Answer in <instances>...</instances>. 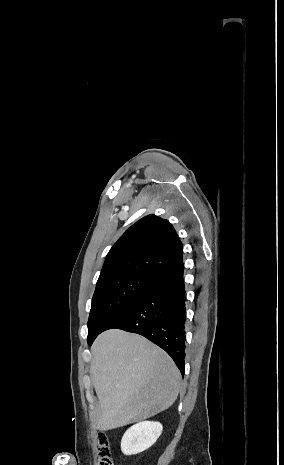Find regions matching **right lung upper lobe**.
<instances>
[{
  "label": "right lung upper lobe",
  "mask_w": 284,
  "mask_h": 465,
  "mask_svg": "<svg viewBox=\"0 0 284 465\" xmlns=\"http://www.w3.org/2000/svg\"><path fill=\"white\" fill-rule=\"evenodd\" d=\"M181 262L182 243L173 226L165 219L148 215L129 227L113 245L98 281L122 275L155 279Z\"/></svg>",
  "instance_id": "cb5924a9"
}]
</instances>
